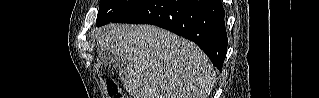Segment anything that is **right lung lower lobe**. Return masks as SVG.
<instances>
[{"instance_id":"obj_1","label":"right lung lower lobe","mask_w":319,"mask_h":98,"mask_svg":"<svg viewBox=\"0 0 319 98\" xmlns=\"http://www.w3.org/2000/svg\"><path fill=\"white\" fill-rule=\"evenodd\" d=\"M113 22L165 28L194 41L222 70L228 40L221 0H147Z\"/></svg>"}]
</instances>
